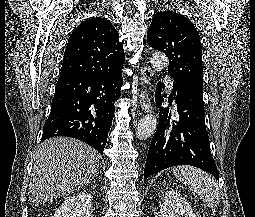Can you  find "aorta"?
<instances>
[{
	"instance_id": "aorta-1",
	"label": "aorta",
	"mask_w": 255,
	"mask_h": 217,
	"mask_svg": "<svg viewBox=\"0 0 255 217\" xmlns=\"http://www.w3.org/2000/svg\"><path fill=\"white\" fill-rule=\"evenodd\" d=\"M154 70H163L168 65V59L164 53L154 52L150 59ZM157 128V119L154 115L148 114L144 116L138 123L136 136L140 140L149 138Z\"/></svg>"
}]
</instances>
